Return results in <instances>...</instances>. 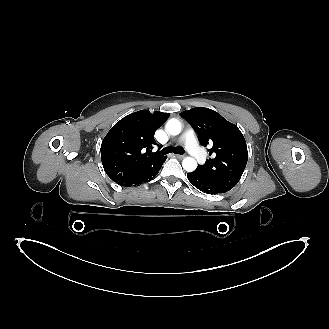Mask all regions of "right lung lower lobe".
Returning a JSON list of instances; mask_svg holds the SVG:
<instances>
[{
  "mask_svg": "<svg viewBox=\"0 0 329 329\" xmlns=\"http://www.w3.org/2000/svg\"><path fill=\"white\" fill-rule=\"evenodd\" d=\"M165 160L166 158L162 159L156 165H154L150 170H148L145 174L122 186H126V187L139 186L144 182L150 181L153 177H155L158 174V171L160 170Z\"/></svg>",
  "mask_w": 329,
  "mask_h": 329,
  "instance_id": "obj_1",
  "label": "right lung lower lobe"
}]
</instances>
